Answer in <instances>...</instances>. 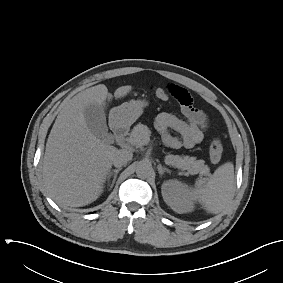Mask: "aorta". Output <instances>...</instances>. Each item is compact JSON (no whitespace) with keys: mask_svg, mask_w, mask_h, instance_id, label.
Instances as JSON below:
<instances>
[{"mask_svg":"<svg viewBox=\"0 0 283 283\" xmlns=\"http://www.w3.org/2000/svg\"><path fill=\"white\" fill-rule=\"evenodd\" d=\"M151 169L152 167L150 163L146 161H140L137 163V166H136V174L141 178H145L150 175Z\"/></svg>","mask_w":283,"mask_h":283,"instance_id":"aorta-1","label":"aorta"}]
</instances>
